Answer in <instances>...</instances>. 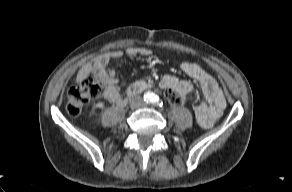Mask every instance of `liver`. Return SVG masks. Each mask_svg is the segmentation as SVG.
Here are the masks:
<instances>
[{
    "instance_id": "obj_1",
    "label": "liver",
    "mask_w": 292,
    "mask_h": 192,
    "mask_svg": "<svg viewBox=\"0 0 292 192\" xmlns=\"http://www.w3.org/2000/svg\"><path fill=\"white\" fill-rule=\"evenodd\" d=\"M92 70V63L88 62L82 66V68L78 71L76 76V83H81L85 80Z\"/></svg>"
}]
</instances>
